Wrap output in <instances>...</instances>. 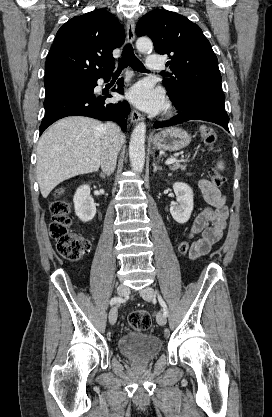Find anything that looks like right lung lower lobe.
<instances>
[{
    "instance_id": "98d812e1",
    "label": "right lung lower lobe",
    "mask_w": 272,
    "mask_h": 417,
    "mask_svg": "<svg viewBox=\"0 0 272 417\" xmlns=\"http://www.w3.org/2000/svg\"><path fill=\"white\" fill-rule=\"evenodd\" d=\"M111 72L90 79L80 86L57 91L44 101L46 114L40 125V134L53 122L66 116L79 115L96 118L99 120H112L117 122L123 131L126 130L127 116L130 107L127 101L107 103L105 100L111 95H98L94 93L97 80H108ZM123 79H119L117 92L123 93ZM115 91V88L113 89Z\"/></svg>"
}]
</instances>
